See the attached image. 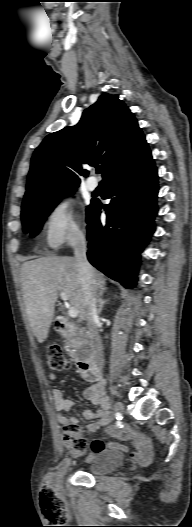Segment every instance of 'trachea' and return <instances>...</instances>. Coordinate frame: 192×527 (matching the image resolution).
Segmentation results:
<instances>
[{"label": "trachea", "mask_w": 192, "mask_h": 527, "mask_svg": "<svg viewBox=\"0 0 192 527\" xmlns=\"http://www.w3.org/2000/svg\"><path fill=\"white\" fill-rule=\"evenodd\" d=\"M96 172L99 174L101 172V168H97Z\"/></svg>", "instance_id": "obj_1"}]
</instances>
